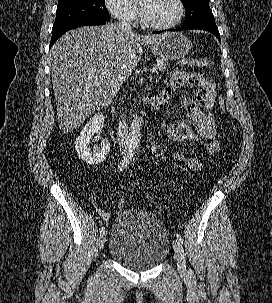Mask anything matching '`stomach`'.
Segmentation results:
<instances>
[{
    "instance_id": "1",
    "label": "stomach",
    "mask_w": 272,
    "mask_h": 303,
    "mask_svg": "<svg viewBox=\"0 0 272 303\" xmlns=\"http://www.w3.org/2000/svg\"><path fill=\"white\" fill-rule=\"evenodd\" d=\"M192 43L181 33H166L157 44L151 46L154 56L163 60H179L188 54Z\"/></svg>"
}]
</instances>
